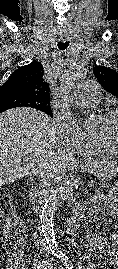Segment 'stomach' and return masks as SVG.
I'll return each instance as SVG.
<instances>
[{
  "label": "stomach",
  "mask_w": 118,
  "mask_h": 269,
  "mask_svg": "<svg viewBox=\"0 0 118 269\" xmlns=\"http://www.w3.org/2000/svg\"><path fill=\"white\" fill-rule=\"evenodd\" d=\"M83 169L99 179L111 180L118 174V164L111 159H103L91 165H83Z\"/></svg>",
  "instance_id": "stomach-1"
}]
</instances>
